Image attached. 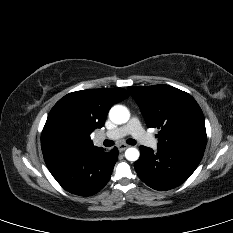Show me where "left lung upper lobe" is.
<instances>
[{"label":"left lung upper lobe","mask_w":233,"mask_h":233,"mask_svg":"<svg viewBox=\"0 0 233 233\" xmlns=\"http://www.w3.org/2000/svg\"><path fill=\"white\" fill-rule=\"evenodd\" d=\"M148 127L158 128V147L204 151L205 119L201 108L188 93L168 85L128 87Z\"/></svg>","instance_id":"left-lung-upper-lobe-1"}]
</instances>
